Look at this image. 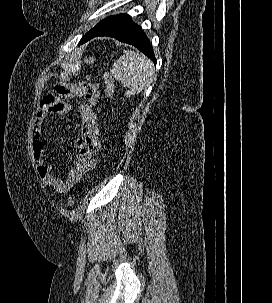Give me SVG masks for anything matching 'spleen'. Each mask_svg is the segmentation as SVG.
<instances>
[{"mask_svg": "<svg viewBox=\"0 0 272 303\" xmlns=\"http://www.w3.org/2000/svg\"><path fill=\"white\" fill-rule=\"evenodd\" d=\"M111 73L128 89L126 97L139 94L154 78L153 63L145 55L130 50L123 51Z\"/></svg>", "mask_w": 272, "mask_h": 303, "instance_id": "obj_1", "label": "spleen"}]
</instances>
